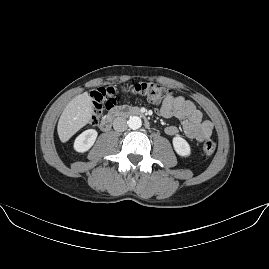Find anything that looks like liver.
<instances>
[{"instance_id": "obj_1", "label": "liver", "mask_w": 269, "mask_h": 269, "mask_svg": "<svg viewBox=\"0 0 269 269\" xmlns=\"http://www.w3.org/2000/svg\"><path fill=\"white\" fill-rule=\"evenodd\" d=\"M92 101L85 92L73 98L63 110L58 122V135L66 142L91 118Z\"/></svg>"}]
</instances>
